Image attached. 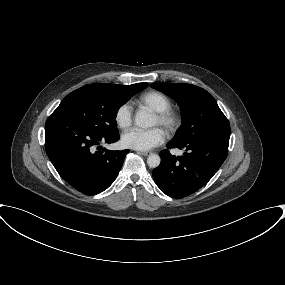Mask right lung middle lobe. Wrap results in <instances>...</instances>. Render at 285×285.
Masks as SVG:
<instances>
[{
	"label": "right lung middle lobe",
	"instance_id": "right-lung-middle-lobe-1",
	"mask_svg": "<svg viewBox=\"0 0 285 285\" xmlns=\"http://www.w3.org/2000/svg\"><path fill=\"white\" fill-rule=\"evenodd\" d=\"M147 85L133 84L127 88L103 83L85 85L68 94L52 115L70 119L96 134H115L119 108Z\"/></svg>",
	"mask_w": 285,
	"mask_h": 285
}]
</instances>
